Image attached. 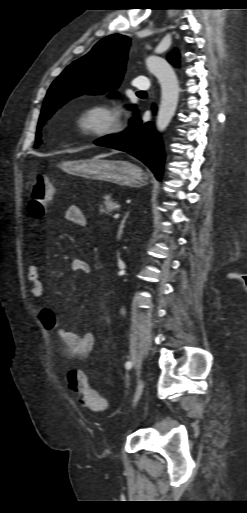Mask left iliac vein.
Listing matches in <instances>:
<instances>
[{"label": "left iliac vein", "mask_w": 247, "mask_h": 513, "mask_svg": "<svg viewBox=\"0 0 247 513\" xmlns=\"http://www.w3.org/2000/svg\"><path fill=\"white\" fill-rule=\"evenodd\" d=\"M143 390H144V381L141 379L138 382V385L136 387V392H135L134 401H133L134 404H136L140 400Z\"/></svg>", "instance_id": "obj_1"}]
</instances>
